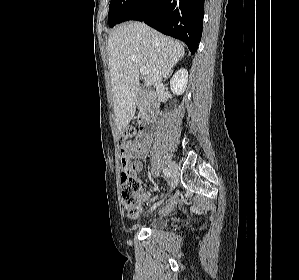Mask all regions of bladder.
<instances>
[{
	"label": "bladder",
	"instance_id": "bladder-1",
	"mask_svg": "<svg viewBox=\"0 0 299 280\" xmlns=\"http://www.w3.org/2000/svg\"><path fill=\"white\" fill-rule=\"evenodd\" d=\"M166 226V222L163 219H157L152 223L151 228L153 230H160Z\"/></svg>",
	"mask_w": 299,
	"mask_h": 280
}]
</instances>
